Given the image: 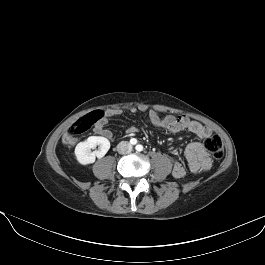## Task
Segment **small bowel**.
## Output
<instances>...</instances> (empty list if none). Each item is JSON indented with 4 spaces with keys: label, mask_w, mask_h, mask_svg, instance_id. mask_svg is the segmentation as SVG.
Segmentation results:
<instances>
[{
    "label": "small bowel",
    "mask_w": 265,
    "mask_h": 265,
    "mask_svg": "<svg viewBox=\"0 0 265 265\" xmlns=\"http://www.w3.org/2000/svg\"><path fill=\"white\" fill-rule=\"evenodd\" d=\"M146 108L141 106L139 108H131L130 113L135 114L138 111H145ZM122 113L120 109H110L107 110L103 118L96 123L94 131L96 134L106 138L113 139L112 132L106 128V125L109 123L110 119L113 117L119 116ZM153 112H150L151 116ZM151 123L157 127H163L170 132H178L181 130H188L194 133L200 139H206L212 135V130L208 126L201 124L198 121L191 120L186 116H169L164 120L152 121ZM138 131L135 127H130L126 130L127 134H133ZM186 160L189 165V169L193 173H201L210 169L211 159L208 156L204 145L201 142H192L189 143L184 151ZM185 174V168L183 164L177 160L173 159V175L177 178L183 177Z\"/></svg>",
    "instance_id": "small-bowel-1"
}]
</instances>
